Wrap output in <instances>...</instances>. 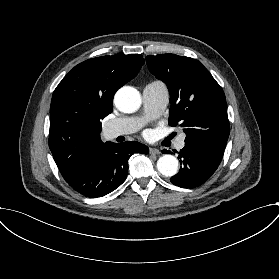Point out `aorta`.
I'll use <instances>...</instances> for the list:
<instances>
[{
	"label": "aorta",
	"instance_id": "aorta-1",
	"mask_svg": "<svg viewBox=\"0 0 279 279\" xmlns=\"http://www.w3.org/2000/svg\"><path fill=\"white\" fill-rule=\"evenodd\" d=\"M114 103L118 110L132 113L140 107L141 96L133 87H122L116 92ZM157 169L166 177L174 176L178 171V160L173 155L165 154L158 159Z\"/></svg>",
	"mask_w": 279,
	"mask_h": 279
}]
</instances>
